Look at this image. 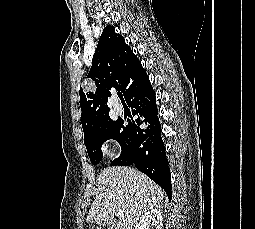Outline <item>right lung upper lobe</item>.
Returning a JSON list of instances; mask_svg holds the SVG:
<instances>
[{
	"mask_svg": "<svg viewBox=\"0 0 255 229\" xmlns=\"http://www.w3.org/2000/svg\"><path fill=\"white\" fill-rule=\"evenodd\" d=\"M141 67L125 39L115 33L113 26L105 27L87 76L95 82L96 87L88 92L82 88L79 91L85 141L91 138L102 123L110 119L107 102L112 90L122 91L125 97L131 77Z\"/></svg>",
	"mask_w": 255,
	"mask_h": 229,
	"instance_id": "right-lung-upper-lobe-1",
	"label": "right lung upper lobe"
}]
</instances>
